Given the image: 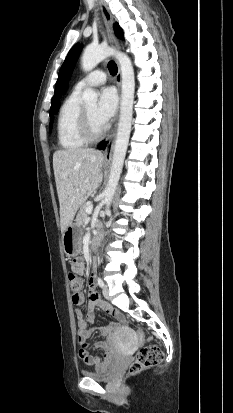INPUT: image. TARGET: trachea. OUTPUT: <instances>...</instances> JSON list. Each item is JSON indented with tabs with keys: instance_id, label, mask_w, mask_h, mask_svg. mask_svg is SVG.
Returning a JSON list of instances; mask_svg holds the SVG:
<instances>
[{
	"instance_id": "trachea-1",
	"label": "trachea",
	"mask_w": 233,
	"mask_h": 413,
	"mask_svg": "<svg viewBox=\"0 0 233 413\" xmlns=\"http://www.w3.org/2000/svg\"><path fill=\"white\" fill-rule=\"evenodd\" d=\"M108 69L110 74L115 75L117 73V65L114 61H109Z\"/></svg>"
}]
</instances>
